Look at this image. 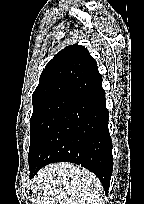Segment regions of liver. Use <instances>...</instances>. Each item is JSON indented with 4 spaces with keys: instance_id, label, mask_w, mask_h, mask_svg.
Listing matches in <instances>:
<instances>
[{
    "instance_id": "liver-1",
    "label": "liver",
    "mask_w": 144,
    "mask_h": 204,
    "mask_svg": "<svg viewBox=\"0 0 144 204\" xmlns=\"http://www.w3.org/2000/svg\"><path fill=\"white\" fill-rule=\"evenodd\" d=\"M37 204H104L103 187L89 170L72 163L50 164L32 179Z\"/></svg>"
}]
</instances>
